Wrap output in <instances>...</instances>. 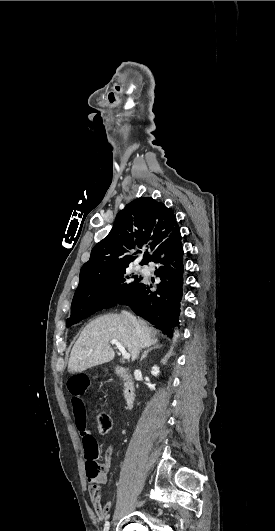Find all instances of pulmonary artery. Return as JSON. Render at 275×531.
<instances>
[{
  "mask_svg": "<svg viewBox=\"0 0 275 531\" xmlns=\"http://www.w3.org/2000/svg\"><path fill=\"white\" fill-rule=\"evenodd\" d=\"M140 272H142L143 274L145 275H148L149 274V269L147 267H141L140 268Z\"/></svg>",
  "mask_w": 275,
  "mask_h": 531,
  "instance_id": "1",
  "label": "pulmonary artery"
}]
</instances>
